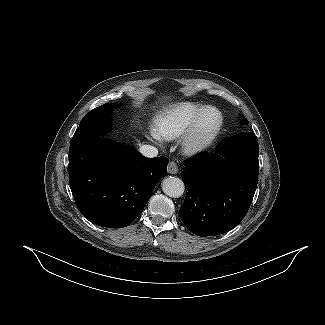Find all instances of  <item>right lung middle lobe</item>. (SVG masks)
<instances>
[{
    "mask_svg": "<svg viewBox=\"0 0 325 325\" xmlns=\"http://www.w3.org/2000/svg\"><path fill=\"white\" fill-rule=\"evenodd\" d=\"M119 104L107 103L91 110L80 122L75 134H99L104 136L110 131V115Z\"/></svg>",
    "mask_w": 325,
    "mask_h": 325,
    "instance_id": "dd1d6c3e",
    "label": "right lung middle lobe"
}]
</instances>
